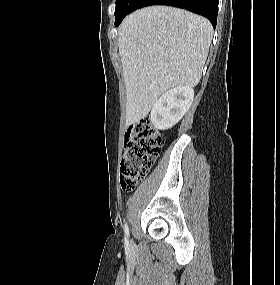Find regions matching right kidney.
Returning a JSON list of instances; mask_svg holds the SVG:
<instances>
[{
  "label": "right kidney",
  "mask_w": 280,
  "mask_h": 285,
  "mask_svg": "<svg viewBox=\"0 0 280 285\" xmlns=\"http://www.w3.org/2000/svg\"><path fill=\"white\" fill-rule=\"evenodd\" d=\"M194 100L191 86H177L165 92L153 105L150 119L156 129L167 130L186 114Z\"/></svg>",
  "instance_id": "obj_1"
}]
</instances>
